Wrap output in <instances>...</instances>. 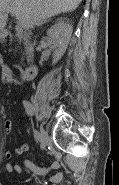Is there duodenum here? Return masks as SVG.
<instances>
[{"mask_svg":"<svg viewBox=\"0 0 119 185\" xmlns=\"http://www.w3.org/2000/svg\"><path fill=\"white\" fill-rule=\"evenodd\" d=\"M37 73H38V66L36 64H33L24 70L23 77L25 80L29 81L34 79Z\"/></svg>","mask_w":119,"mask_h":185,"instance_id":"duodenum-1","label":"duodenum"}]
</instances>
